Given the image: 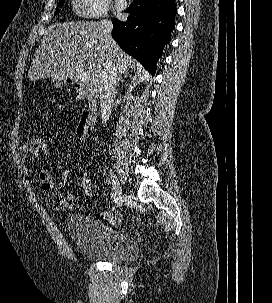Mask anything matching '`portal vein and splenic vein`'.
I'll list each match as a JSON object with an SVG mask.
<instances>
[{
    "label": "portal vein and splenic vein",
    "mask_w": 272,
    "mask_h": 303,
    "mask_svg": "<svg viewBox=\"0 0 272 303\" xmlns=\"http://www.w3.org/2000/svg\"><path fill=\"white\" fill-rule=\"evenodd\" d=\"M77 78L81 83H86L89 80L88 76L85 73H78Z\"/></svg>",
    "instance_id": "18ae733b"
}]
</instances>
